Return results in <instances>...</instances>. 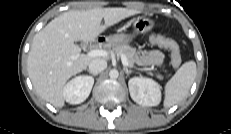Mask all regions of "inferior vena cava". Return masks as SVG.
<instances>
[{"label": "inferior vena cava", "mask_w": 231, "mask_h": 134, "mask_svg": "<svg viewBox=\"0 0 231 134\" xmlns=\"http://www.w3.org/2000/svg\"><path fill=\"white\" fill-rule=\"evenodd\" d=\"M107 67V62L103 59H93L89 64V71L92 74H98Z\"/></svg>", "instance_id": "inferior-vena-cava-1"}]
</instances>
